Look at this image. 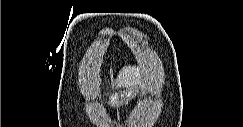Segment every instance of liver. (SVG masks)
<instances>
[{"instance_id":"6515ba94","label":"liver","mask_w":243,"mask_h":127,"mask_svg":"<svg viewBox=\"0 0 243 127\" xmlns=\"http://www.w3.org/2000/svg\"><path fill=\"white\" fill-rule=\"evenodd\" d=\"M142 69L138 66H125L117 75V79L112 81L116 87H131L139 84L142 80ZM98 81H101L98 78Z\"/></svg>"}]
</instances>
